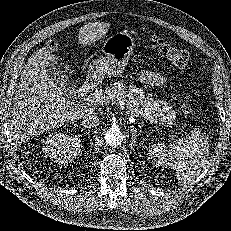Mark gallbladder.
Returning <instances> with one entry per match:
<instances>
[{"instance_id":"obj_1","label":"gallbladder","mask_w":231,"mask_h":231,"mask_svg":"<svg viewBox=\"0 0 231 231\" xmlns=\"http://www.w3.org/2000/svg\"><path fill=\"white\" fill-rule=\"evenodd\" d=\"M46 70L54 85L60 88L66 96L72 97L76 94L74 85L69 81L68 77L56 67L54 63H49Z\"/></svg>"}]
</instances>
